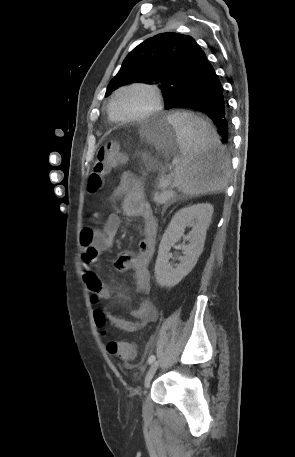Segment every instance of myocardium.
<instances>
[{
    "label": "myocardium",
    "mask_w": 295,
    "mask_h": 457,
    "mask_svg": "<svg viewBox=\"0 0 295 457\" xmlns=\"http://www.w3.org/2000/svg\"><path fill=\"white\" fill-rule=\"evenodd\" d=\"M130 89H144L148 91L153 99V104L150 109L145 111L144 113L132 117H119L115 114L114 112V102L117 98V96L122 93L123 91L130 90ZM163 106V100H162V95L159 90V88L153 84H148V83H132L123 87H120L115 91L113 96L110 99L109 105H108V112L112 120L116 122H123V123H128V122H136V121H143L146 120L155 114H157Z\"/></svg>",
    "instance_id": "myocardium-1"
}]
</instances>
